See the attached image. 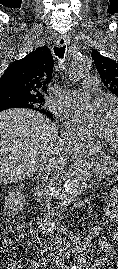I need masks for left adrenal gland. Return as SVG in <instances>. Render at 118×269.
<instances>
[{
	"mask_svg": "<svg viewBox=\"0 0 118 269\" xmlns=\"http://www.w3.org/2000/svg\"><path fill=\"white\" fill-rule=\"evenodd\" d=\"M95 184H96V182L94 181V182H93V185H95Z\"/></svg>",
	"mask_w": 118,
	"mask_h": 269,
	"instance_id": "1",
	"label": "left adrenal gland"
}]
</instances>
